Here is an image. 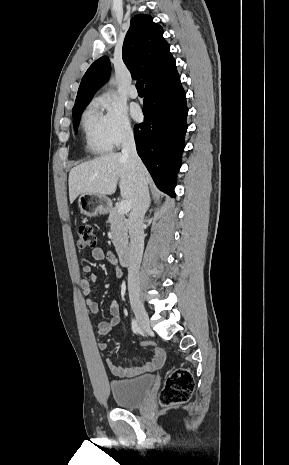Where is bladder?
<instances>
[{
    "label": "bladder",
    "mask_w": 289,
    "mask_h": 465,
    "mask_svg": "<svg viewBox=\"0 0 289 465\" xmlns=\"http://www.w3.org/2000/svg\"><path fill=\"white\" fill-rule=\"evenodd\" d=\"M155 378L143 375L130 379L112 380L110 391L115 403L122 408H137L146 403Z\"/></svg>",
    "instance_id": "1"
}]
</instances>
